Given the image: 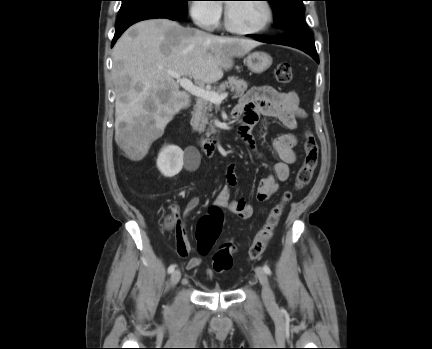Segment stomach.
<instances>
[{"label": "stomach", "instance_id": "stomach-1", "mask_svg": "<svg viewBox=\"0 0 432 349\" xmlns=\"http://www.w3.org/2000/svg\"><path fill=\"white\" fill-rule=\"evenodd\" d=\"M245 62L249 70L253 73L260 74L272 65V57L266 52L256 51L248 54L245 58Z\"/></svg>", "mask_w": 432, "mask_h": 349}]
</instances>
